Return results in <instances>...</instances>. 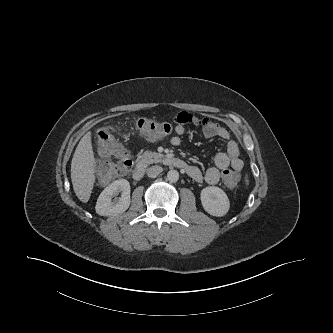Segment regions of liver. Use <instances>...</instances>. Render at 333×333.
<instances>
[{
    "label": "liver",
    "instance_id": "1",
    "mask_svg": "<svg viewBox=\"0 0 333 333\" xmlns=\"http://www.w3.org/2000/svg\"><path fill=\"white\" fill-rule=\"evenodd\" d=\"M95 166L91 132L89 131L78 143L71 162L73 189L83 203L88 202L93 190Z\"/></svg>",
    "mask_w": 333,
    "mask_h": 333
}]
</instances>
